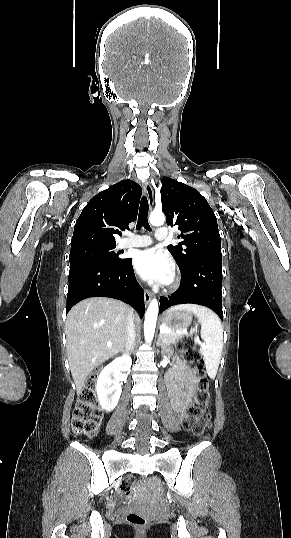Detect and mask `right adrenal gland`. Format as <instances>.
Wrapping results in <instances>:
<instances>
[{"label":"right adrenal gland","mask_w":291,"mask_h":538,"mask_svg":"<svg viewBox=\"0 0 291 538\" xmlns=\"http://www.w3.org/2000/svg\"><path fill=\"white\" fill-rule=\"evenodd\" d=\"M134 346L131 348V351L133 350Z\"/></svg>","instance_id":"2a0ac1e0"}]
</instances>
